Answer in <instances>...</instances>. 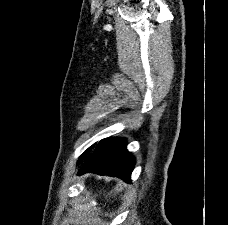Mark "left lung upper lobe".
<instances>
[{
	"instance_id": "1",
	"label": "left lung upper lobe",
	"mask_w": 228,
	"mask_h": 225,
	"mask_svg": "<svg viewBox=\"0 0 228 225\" xmlns=\"http://www.w3.org/2000/svg\"><path fill=\"white\" fill-rule=\"evenodd\" d=\"M95 146V144H93L91 147H89L83 154L82 156L79 158V161L81 159H83L85 156H87L89 154V152L93 149V147Z\"/></svg>"
}]
</instances>
